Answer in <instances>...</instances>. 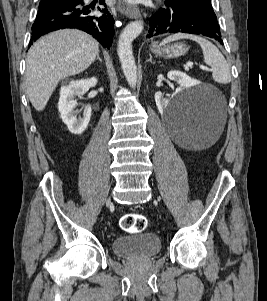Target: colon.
<instances>
[{
    "instance_id": "obj_1",
    "label": "colon",
    "mask_w": 267,
    "mask_h": 301,
    "mask_svg": "<svg viewBox=\"0 0 267 301\" xmlns=\"http://www.w3.org/2000/svg\"><path fill=\"white\" fill-rule=\"evenodd\" d=\"M120 226L126 232L139 233L146 228L147 219L139 213H128L122 216Z\"/></svg>"
}]
</instances>
